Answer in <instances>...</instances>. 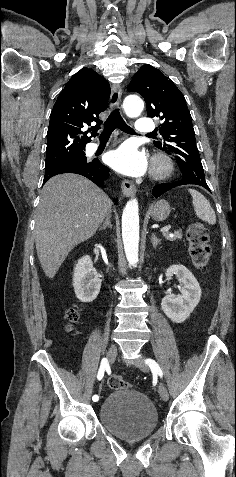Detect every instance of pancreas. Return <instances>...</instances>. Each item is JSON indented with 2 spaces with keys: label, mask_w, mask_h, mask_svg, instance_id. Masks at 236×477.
<instances>
[{
  "label": "pancreas",
  "mask_w": 236,
  "mask_h": 477,
  "mask_svg": "<svg viewBox=\"0 0 236 477\" xmlns=\"http://www.w3.org/2000/svg\"><path fill=\"white\" fill-rule=\"evenodd\" d=\"M164 237L169 241H175L177 239L182 238V232L181 231H175L173 234L164 233Z\"/></svg>",
  "instance_id": "cf45deb5"
}]
</instances>
